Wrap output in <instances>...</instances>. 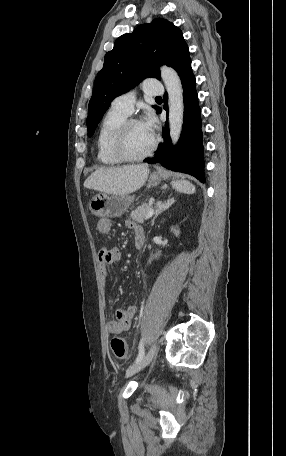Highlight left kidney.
<instances>
[{"label":"left kidney","mask_w":286,"mask_h":456,"mask_svg":"<svg viewBox=\"0 0 286 456\" xmlns=\"http://www.w3.org/2000/svg\"><path fill=\"white\" fill-rule=\"evenodd\" d=\"M171 232H173L174 235L177 236V237H178V235H179V233H180V231H179L178 229H176L175 227H172V228H171Z\"/></svg>","instance_id":"obj_1"}]
</instances>
